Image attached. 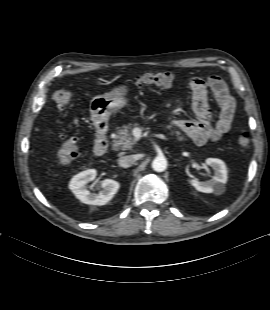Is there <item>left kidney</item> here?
I'll list each match as a JSON object with an SVG mask.
<instances>
[{"instance_id":"5707ae66","label":"left kidney","mask_w":270,"mask_h":310,"mask_svg":"<svg viewBox=\"0 0 270 310\" xmlns=\"http://www.w3.org/2000/svg\"><path fill=\"white\" fill-rule=\"evenodd\" d=\"M205 163L214 170L212 179L200 182L198 179H190V184L203 193L222 194L225 191L224 184L227 182V167L225 163L217 158H207Z\"/></svg>"}]
</instances>
